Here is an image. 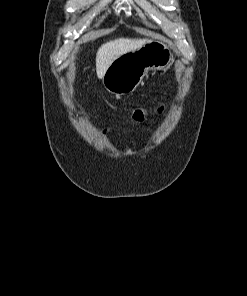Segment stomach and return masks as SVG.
Listing matches in <instances>:
<instances>
[{
	"instance_id": "obj_1",
	"label": "stomach",
	"mask_w": 247,
	"mask_h": 296,
	"mask_svg": "<svg viewBox=\"0 0 247 296\" xmlns=\"http://www.w3.org/2000/svg\"><path fill=\"white\" fill-rule=\"evenodd\" d=\"M173 58L171 49L163 42L148 39L137 50L115 59L106 70L102 83L115 95L133 92L149 70H162Z\"/></svg>"
}]
</instances>
